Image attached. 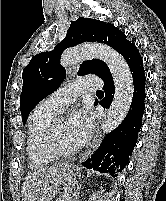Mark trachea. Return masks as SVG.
Listing matches in <instances>:
<instances>
[{
	"instance_id": "trachea-1",
	"label": "trachea",
	"mask_w": 166,
	"mask_h": 201,
	"mask_svg": "<svg viewBox=\"0 0 166 201\" xmlns=\"http://www.w3.org/2000/svg\"><path fill=\"white\" fill-rule=\"evenodd\" d=\"M96 93H103L101 90L96 91Z\"/></svg>"
}]
</instances>
